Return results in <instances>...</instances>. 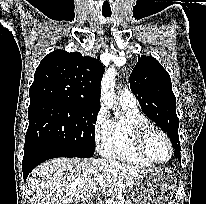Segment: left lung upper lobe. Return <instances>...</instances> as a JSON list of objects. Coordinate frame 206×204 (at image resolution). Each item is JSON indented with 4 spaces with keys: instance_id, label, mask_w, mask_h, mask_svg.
I'll return each instance as SVG.
<instances>
[{
    "instance_id": "obj_1",
    "label": "left lung upper lobe",
    "mask_w": 206,
    "mask_h": 204,
    "mask_svg": "<svg viewBox=\"0 0 206 204\" xmlns=\"http://www.w3.org/2000/svg\"><path fill=\"white\" fill-rule=\"evenodd\" d=\"M129 82L143 112L167 132L175 149V156H180L179 119L168 72L155 58L139 56Z\"/></svg>"
}]
</instances>
